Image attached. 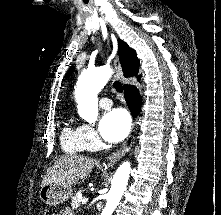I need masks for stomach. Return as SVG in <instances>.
<instances>
[{"mask_svg": "<svg viewBox=\"0 0 221 215\" xmlns=\"http://www.w3.org/2000/svg\"><path fill=\"white\" fill-rule=\"evenodd\" d=\"M72 194V186L47 184L40 190V199L49 206H56L69 200Z\"/></svg>", "mask_w": 221, "mask_h": 215, "instance_id": "stomach-1", "label": "stomach"}]
</instances>
